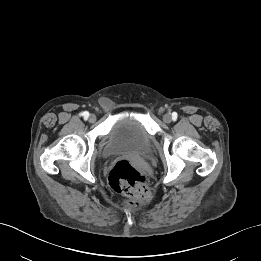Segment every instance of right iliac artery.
<instances>
[{"label": "right iliac artery", "mask_w": 261, "mask_h": 261, "mask_svg": "<svg viewBox=\"0 0 261 261\" xmlns=\"http://www.w3.org/2000/svg\"><path fill=\"white\" fill-rule=\"evenodd\" d=\"M83 116H84V118H88L89 117V112H87V111H85V112H83V114H82Z\"/></svg>", "instance_id": "obj_1"}]
</instances>
